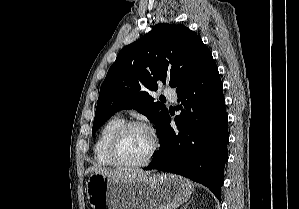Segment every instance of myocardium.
I'll use <instances>...</instances> for the list:
<instances>
[{"mask_svg": "<svg viewBox=\"0 0 299 209\" xmlns=\"http://www.w3.org/2000/svg\"><path fill=\"white\" fill-rule=\"evenodd\" d=\"M138 128L145 131L151 141V147L148 151L146 157L136 163H124L118 158V146L121 137L130 129ZM159 147V140L154 132V130L146 123L141 121H127L124 122L112 135L109 148H108V155L112 162V165L116 168L120 169H138L148 165L153 157L155 156Z\"/></svg>", "mask_w": 299, "mask_h": 209, "instance_id": "f54148a6", "label": "myocardium"}]
</instances>
